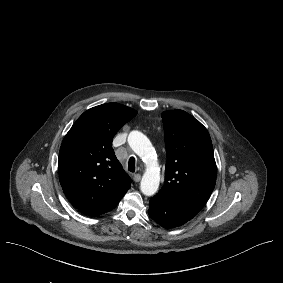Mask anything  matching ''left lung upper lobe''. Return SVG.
<instances>
[{
    "label": "left lung upper lobe",
    "mask_w": 283,
    "mask_h": 283,
    "mask_svg": "<svg viewBox=\"0 0 283 283\" xmlns=\"http://www.w3.org/2000/svg\"><path fill=\"white\" fill-rule=\"evenodd\" d=\"M167 154L159 194L203 207L216 182V163L207 129L182 110L162 113Z\"/></svg>",
    "instance_id": "left-lung-upper-lobe-1"
}]
</instances>
